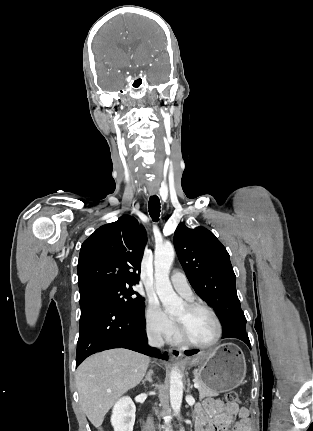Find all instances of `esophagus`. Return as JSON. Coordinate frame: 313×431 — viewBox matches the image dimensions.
Returning <instances> with one entry per match:
<instances>
[{
    "label": "esophagus",
    "mask_w": 313,
    "mask_h": 431,
    "mask_svg": "<svg viewBox=\"0 0 313 431\" xmlns=\"http://www.w3.org/2000/svg\"><path fill=\"white\" fill-rule=\"evenodd\" d=\"M149 193H150V195H154L157 193V190L156 189H150ZM170 355H171L172 359H179L182 357L181 351L179 349H176V348L170 349Z\"/></svg>",
    "instance_id": "1"
}]
</instances>
